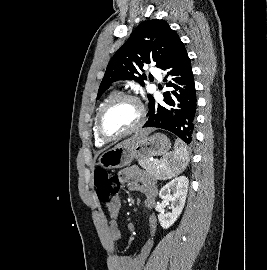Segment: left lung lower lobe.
Returning a JSON list of instances; mask_svg holds the SVG:
<instances>
[{
  "label": "left lung lower lobe",
  "mask_w": 267,
  "mask_h": 270,
  "mask_svg": "<svg viewBox=\"0 0 267 270\" xmlns=\"http://www.w3.org/2000/svg\"><path fill=\"white\" fill-rule=\"evenodd\" d=\"M162 70L167 73L164 81L172 90L163 94L164 102H151L149 119L143 127L168 130L190 145L194 139L197 99L190 59L181 40Z\"/></svg>",
  "instance_id": "1"
}]
</instances>
